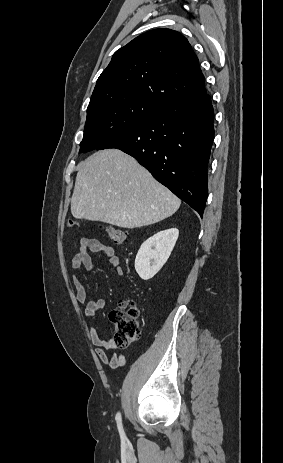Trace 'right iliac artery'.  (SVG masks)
<instances>
[{"label": "right iliac artery", "mask_w": 283, "mask_h": 463, "mask_svg": "<svg viewBox=\"0 0 283 463\" xmlns=\"http://www.w3.org/2000/svg\"><path fill=\"white\" fill-rule=\"evenodd\" d=\"M115 419L117 421V426H118L119 433H120L121 437L123 438L125 436V434H124V430H123V426H122L121 414L117 413Z\"/></svg>", "instance_id": "right-iliac-artery-1"}]
</instances>
